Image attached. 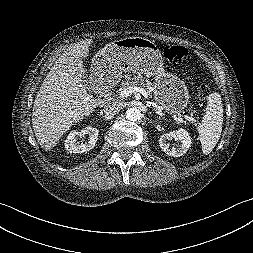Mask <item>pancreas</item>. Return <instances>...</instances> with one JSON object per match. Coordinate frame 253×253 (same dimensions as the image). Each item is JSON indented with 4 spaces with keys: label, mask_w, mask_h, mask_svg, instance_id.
I'll return each mask as SVG.
<instances>
[{
    "label": "pancreas",
    "mask_w": 253,
    "mask_h": 253,
    "mask_svg": "<svg viewBox=\"0 0 253 253\" xmlns=\"http://www.w3.org/2000/svg\"><path fill=\"white\" fill-rule=\"evenodd\" d=\"M130 86H141L145 91H147L148 95L151 93L152 83L149 79L143 77L142 75H126L123 79L120 87V92Z\"/></svg>",
    "instance_id": "cf45deb5"
}]
</instances>
